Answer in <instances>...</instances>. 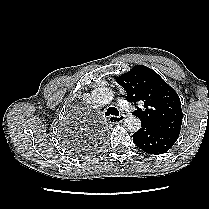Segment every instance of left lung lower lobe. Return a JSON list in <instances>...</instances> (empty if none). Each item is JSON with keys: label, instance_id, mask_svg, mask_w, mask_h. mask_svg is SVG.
<instances>
[{"label": "left lung lower lobe", "instance_id": "1", "mask_svg": "<svg viewBox=\"0 0 209 209\" xmlns=\"http://www.w3.org/2000/svg\"><path fill=\"white\" fill-rule=\"evenodd\" d=\"M178 136L156 130L148 125L141 124V128L133 134L134 143L148 154H163L177 141Z\"/></svg>", "mask_w": 209, "mask_h": 209}]
</instances>
